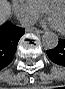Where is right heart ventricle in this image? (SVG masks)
I'll use <instances>...</instances> for the list:
<instances>
[{
	"instance_id": "obj_1",
	"label": "right heart ventricle",
	"mask_w": 65,
	"mask_h": 89,
	"mask_svg": "<svg viewBox=\"0 0 65 89\" xmlns=\"http://www.w3.org/2000/svg\"><path fill=\"white\" fill-rule=\"evenodd\" d=\"M35 1L44 8L47 3H49L50 1H53V0H35Z\"/></svg>"
}]
</instances>
